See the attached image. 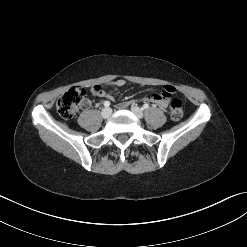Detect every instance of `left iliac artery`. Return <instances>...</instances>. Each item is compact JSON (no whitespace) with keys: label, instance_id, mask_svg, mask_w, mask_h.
<instances>
[{"label":"left iliac artery","instance_id":"1","mask_svg":"<svg viewBox=\"0 0 247 247\" xmlns=\"http://www.w3.org/2000/svg\"><path fill=\"white\" fill-rule=\"evenodd\" d=\"M148 108H149V104L146 103L143 105V109H148Z\"/></svg>","mask_w":247,"mask_h":247}]
</instances>
